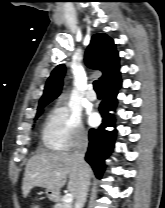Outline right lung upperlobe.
Masks as SVG:
<instances>
[{
	"instance_id": "right-lung-upper-lobe-1",
	"label": "right lung upper lobe",
	"mask_w": 165,
	"mask_h": 208,
	"mask_svg": "<svg viewBox=\"0 0 165 208\" xmlns=\"http://www.w3.org/2000/svg\"><path fill=\"white\" fill-rule=\"evenodd\" d=\"M85 62L89 68L100 70L102 86L119 75V56L113 40L106 34L93 35L85 52ZM65 65H58L48 78L38 109L42 110L49 102L58 97L63 85Z\"/></svg>"
}]
</instances>
